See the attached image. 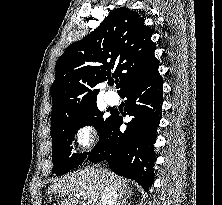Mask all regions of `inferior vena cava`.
<instances>
[{
  "label": "inferior vena cava",
  "mask_w": 222,
  "mask_h": 205,
  "mask_svg": "<svg viewBox=\"0 0 222 205\" xmlns=\"http://www.w3.org/2000/svg\"><path fill=\"white\" fill-rule=\"evenodd\" d=\"M105 173V170H102ZM117 198L116 188L107 184L100 199V205H114Z\"/></svg>",
  "instance_id": "obj_1"
}]
</instances>
